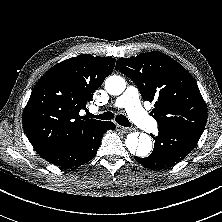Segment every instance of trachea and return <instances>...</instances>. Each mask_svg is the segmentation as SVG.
<instances>
[{"label":"trachea","instance_id":"trachea-1","mask_svg":"<svg viewBox=\"0 0 222 222\" xmlns=\"http://www.w3.org/2000/svg\"><path fill=\"white\" fill-rule=\"evenodd\" d=\"M88 116L90 118H96V119H101V120H111L114 118V114L112 112H105V113H102L100 115H93L91 113H88ZM116 122L118 124H120L121 126H124V127H128L131 125V123L129 122V120L126 118V116L120 114V115H117L116 118H115Z\"/></svg>","mask_w":222,"mask_h":222}]
</instances>
